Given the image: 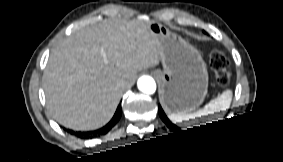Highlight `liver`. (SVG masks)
Returning a JSON list of instances; mask_svg holds the SVG:
<instances>
[{
  "instance_id": "liver-1",
  "label": "liver",
  "mask_w": 283,
  "mask_h": 162,
  "mask_svg": "<svg viewBox=\"0 0 283 162\" xmlns=\"http://www.w3.org/2000/svg\"><path fill=\"white\" fill-rule=\"evenodd\" d=\"M149 23L148 18L112 19L56 44L44 70L43 87L47 108L59 123L92 130L112 118L137 72L159 64V46Z\"/></svg>"
}]
</instances>
